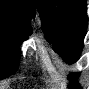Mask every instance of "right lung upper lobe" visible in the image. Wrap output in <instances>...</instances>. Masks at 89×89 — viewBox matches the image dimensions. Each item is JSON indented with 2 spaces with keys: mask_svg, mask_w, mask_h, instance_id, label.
<instances>
[{
  "mask_svg": "<svg viewBox=\"0 0 89 89\" xmlns=\"http://www.w3.org/2000/svg\"><path fill=\"white\" fill-rule=\"evenodd\" d=\"M34 14L33 0H0V20L21 23L30 29V19Z\"/></svg>",
  "mask_w": 89,
  "mask_h": 89,
  "instance_id": "1",
  "label": "right lung upper lobe"
}]
</instances>
